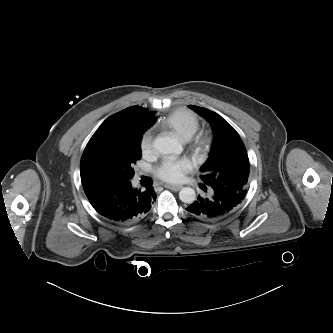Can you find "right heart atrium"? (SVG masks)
Returning <instances> with one entry per match:
<instances>
[{
  "instance_id": "1",
  "label": "right heart atrium",
  "mask_w": 333,
  "mask_h": 333,
  "mask_svg": "<svg viewBox=\"0 0 333 333\" xmlns=\"http://www.w3.org/2000/svg\"><path fill=\"white\" fill-rule=\"evenodd\" d=\"M141 152L144 156H148L153 151V137L150 133L144 134L140 143Z\"/></svg>"
}]
</instances>
